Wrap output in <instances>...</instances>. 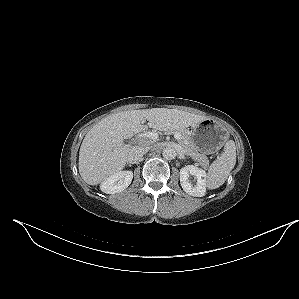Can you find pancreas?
<instances>
[{"mask_svg":"<svg viewBox=\"0 0 299 299\" xmlns=\"http://www.w3.org/2000/svg\"><path fill=\"white\" fill-rule=\"evenodd\" d=\"M169 133L171 134H175V133H179L181 135V138L179 139V143L183 146V148L185 149V151L187 152V154L194 159L195 161L199 162V164L204 167L207 168L209 165V160L207 158L206 155L199 153L196 148L194 147V145L191 143L190 141V137L187 131L185 130H179V131H175V130H168Z\"/></svg>","mask_w":299,"mask_h":299,"instance_id":"1","label":"pancreas"}]
</instances>
